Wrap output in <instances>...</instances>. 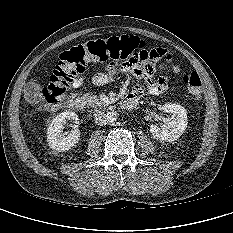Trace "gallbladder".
Returning <instances> with one entry per match:
<instances>
[{"mask_svg": "<svg viewBox=\"0 0 233 233\" xmlns=\"http://www.w3.org/2000/svg\"><path fill=\"white\" fill-rule=\"evenodd\" d=\"M31 95H36L38 97H40L41 95V88L40 86H34L32 87V89L29 90Z\"/></svg>", "mask_w": 233, "mask_h": 233, "instance_id": "bac80fb5", "label": "gallbladder"}]
</instances>
